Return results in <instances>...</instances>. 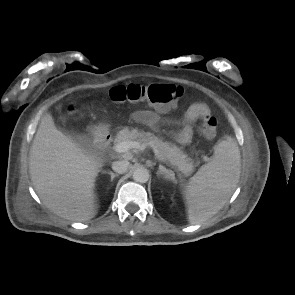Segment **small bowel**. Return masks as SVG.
<instances>
[{
	"mask_svg": "<svg viewBox=\"0 0 295 295\" xmlns=\"http://www.w3.org/2000/svg\"><path fill=\"white\" fill-rule=\"evenodd\" d=\"M163 112L162 110H138L133 112L131 117L134 121L155 129L161 121ZM208 114L212 113L205 103L192 104L184 115L182 128L175 134L177 142L188 144L193 137L194 124Z\"/></svg>",
	"mask_w": 295,
	"mask_h": 295,
	"instance_id": "obj_1",
	"label": "small bowel"
}]
</instances>
